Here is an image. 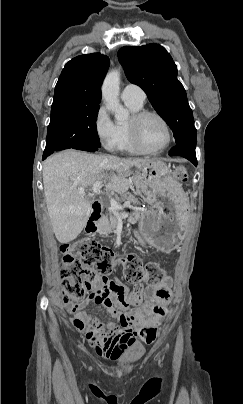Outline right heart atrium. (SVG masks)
<instances>
[{"instance_id": "obj_1", "label": "right heart atrium", "mask_w": 243, "mask_h": 404, "mask_svg": "<svg viewBox=\"0 0 243 404\" xmlns=\"http://www.w3.org/2000/svg\"><path fill=\"white\" fill-rule=\"evenodd\" d=\"M93 128L100 146L106 151H120V136L117 124L104 105H99L93 116Z\"/></svg>"}]
</instances>
